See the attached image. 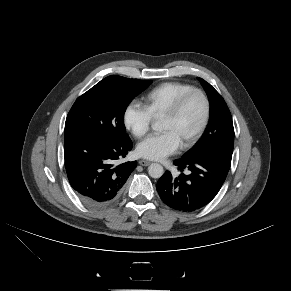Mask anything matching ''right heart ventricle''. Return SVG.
Masks as SVG:
<instances>
[{
    "instance_id": "obj_1",
    "label": "right heart ventricle",
    "mask_w": 291,
    "mask_h": 291,
    "mask_svg": "<svg viewBox=\"0 0 291 291\" xmlns=\"http://www.w3.org/2000/svg\"><path fill=\"white\" fill-rule=\"evenodd\" d=\"M194 87L183 82H164L148 91L142 98L143 106L152 118L162 116L184 93Z\"/></svg>"
}]
</instances>
